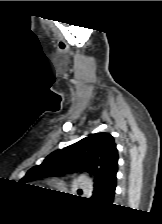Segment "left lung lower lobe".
<instances>
[{"mask_svg": "<svg viewBox=\"0 0 162 224\" xmlns=\"http://www.w3.org/2000/svg\"><path fill=\"white\" fill-rule=\"evenodd\" d=\"M116 173L117 170L111 173L101 185L95 186L93 198L98 202L112 204L116 188Z\"/></svg>", "mask_w": 162, "mask_h": 224, "instance_id": "0a47b994", "label": "left lung lower lobe"}]
</instances>
